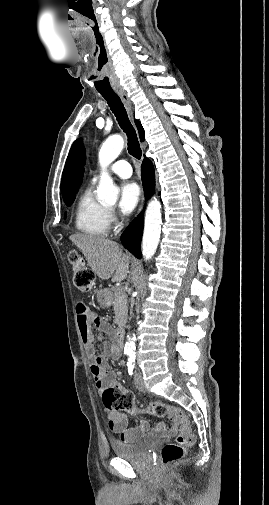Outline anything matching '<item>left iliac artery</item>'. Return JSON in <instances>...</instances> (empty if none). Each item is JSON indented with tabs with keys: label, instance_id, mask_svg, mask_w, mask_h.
I'll use <instances>...</instances> for the list:
<instances>
[{
	"label": "left iliac artery",
	"instance_id": "44dca946",
	"mask_svg": "<svg viewBox=\"0 0 269 505\" xmlns=\"http://www.w3.org/2000/svg\"><path fill=\"white\" fill-rule=\"evenodd\" d=\"M127 366H128L129 375H132L133 374V369H134V366H135V354L134 353L133 354H129Z\"/></svg>",
	"mask_w": 269,
	"mask_h": 505
}]
</instances>
